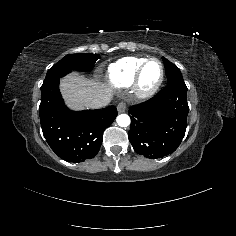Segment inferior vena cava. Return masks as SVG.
I'll list each match as a JSON object with an SVG mask.
<instances>
[{
    "label": "inferior vena cava",
    "instance_id": "inferior-vena-cava-1",
    "mask_svg": "<svg viewBox=\"0 0 236 236\" xmlns=\"http://www.w3.org/2000/svg\"><path fill=\"white\" fill-rule=\"evenodd\" d=\"M109 102H110V98L108 96H104L103 98L92 99L86 104V106L91 109H99L108 105Z\"/></svg>",
    "mask_w": 236,
    "mask_h": 236
}]
</instances>
